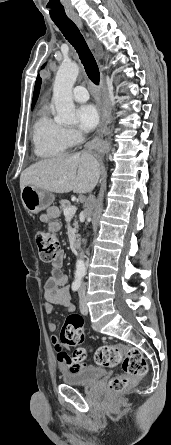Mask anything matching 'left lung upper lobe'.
Wrapping results in <instances>:
<instances>
[{
	"label": "left lung upper lobe",
	"mask_w": 171,
	"mask_h": 445,
	"mask_svg": "<svg viewBox=\"0 0 171 445\" xmlns=\"http://www.w3.org/2000/svg\"><path fill=\"white\" fill-rule=\"evenodd\" d=\"M40 86H41V78L38 75L37 79H36V83H35V88H34V94H33V100H32V108L34 107V105H35V103H36V101L38 99Z\"/></svg>",
	"instance_id": "5c2ea615"
}]
</instances>
